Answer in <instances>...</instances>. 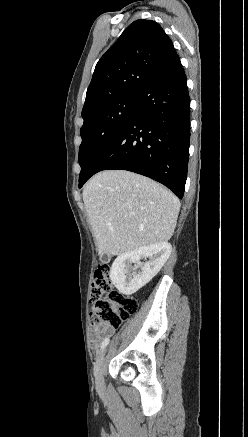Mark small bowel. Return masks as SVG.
<instances>
[{
  "instance_id": "small-bowel-1",
  "label": "small bowel",
  "mask_w": 248,
  "mask_h": 437,
  "mask_svg": "<svg viewBox=\"0 0 248 437\" xmlns=\"http://www.w3.org/2000/svg\"><path fill=\"white\" fill-rule=\"evenodd\" d=\"M113 331V328L109 327L108 325L92 328L90 333L92 347L96 349L102 341V338L104 336H109L113 333Z\"/></svg>"
}]
</instances>
